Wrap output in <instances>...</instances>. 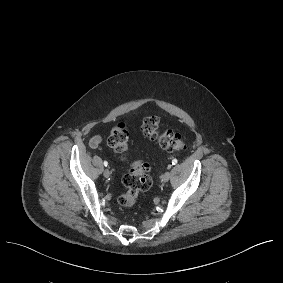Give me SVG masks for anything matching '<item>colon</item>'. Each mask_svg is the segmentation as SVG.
I'll return each mask as SVG.
<instances>
[{
    "instance_id": "colon-1",
    "label": "colon",
    "mask_w": 283,
    "mask_h": 283,
    "mask_svg": "<svg viewBox=\"0 0 283 283\" xmlns=\"http://www.w3.org/2000/svg\"><path fill=\"white\" fill-rule=\"evenodd\" d=\"M140 129L144 136L158 143L164 150L181 152L185 149V141L182 135L171 129L161 130L159 118L155 115L145 117ZM108 145L121 158L128 156L129 131L124 123H118L112 128L108 137ZM149 171L150 165L145 160H134L130 164L129 171L123 177L125 191L118 197V204L122 208H132L137 202L139 194L150 189L152 178Z\"/></svg>"
}]
</instances>
